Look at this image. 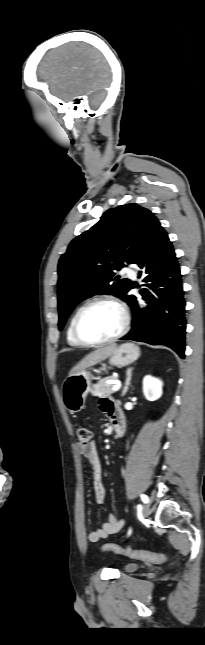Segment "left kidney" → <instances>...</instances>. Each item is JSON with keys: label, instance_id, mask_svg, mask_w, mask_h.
Segmentation results:
<instances>
[{"label": "left kidney", "instance_id": "left-kidney-1", "mask_svg": "<svg viewBox=\"0 0 205 645\" xmlns=\"http://www.w3.org/2000/svg\"><path fill=\"white\" fill-rule=\"evenodd\" d=\"M163 383L160 379L147 375L143 379V393L147 400L155 401L162 396Z\"/></svg>", "mask_w": 205, "mask_h": 645}]
</instances>
